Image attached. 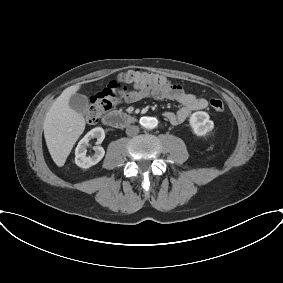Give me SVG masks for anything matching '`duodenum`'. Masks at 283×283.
Instances as JSON below:
<instances>
[{
  "label": "duodenum",
  "instance_id": "410a0bca",
  "mask_svg": "<svg viewBox=\"0 0 283 283\" xmlns=\"http://www.w3.org/2000/svg\"><path fill=\"white\" fill-rule=\"evenodd\" d=\"M102 121L107 126L122 128L135 123L136 118L133 115L115 110L105 114Z\"/></svg>",
  "mask_w": 283,
  "mask_h": 283
}]
</instances>
